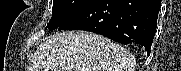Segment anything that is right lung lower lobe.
<instances>
[{
    "instance_id": "98d812e1",
    "label": "right lung lower lobe",
    "mask_w": 181,
    "mask_h": 71,
    "mask_svg": "<svg viewBox=\"0 0 181 71\" xmlns=\"http://www.w3.org/2000/svg\"><path fill=\"white\" fill-rule=\"evenodd\" d=\"M160 0H94L59 30H86L121 44L136 43L150 55Z\"/></svg>"
}]
</instances>
